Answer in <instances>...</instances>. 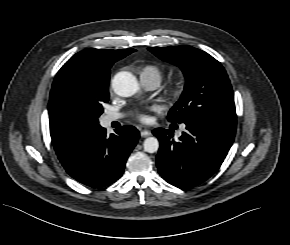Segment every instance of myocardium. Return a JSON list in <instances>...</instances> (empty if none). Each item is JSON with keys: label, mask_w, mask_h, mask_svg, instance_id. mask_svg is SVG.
Here are the masks:
<instances>
[{"label": "myocardium", "mask_w": 290, "mask_h": 245, "mask_svg": "<svg viewBox=\"0 0 290 245\" xmlns=\"http://www.w3.org/2000/svg\"><path fill=\"white\" fill-rule=\"evenodd\" d=\"M174 92L177 94V93H179V90H175Z\"/></svg>", "instance_id": "myocardium-1"}]
</instances>
